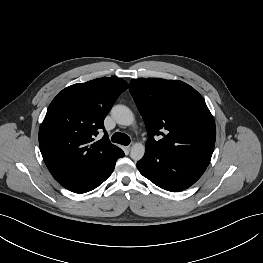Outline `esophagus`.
I'll list each match as a JSON object with an SVG mask.
<instances>
[{
    "label": "esophagus",
    "instance_id": "1",
    "mask_svg": "<svg viewBox=\"0 0 263 263\" xmlns=\"http://www.w3.org/2000/svg\"><path fill=\"white\" fill-rule=\"evenodd\" d=\"M126 149H127L128 151H130V150H131V145L126 146Z\"/></svg>",
    "mask_w": 263,
    "mask_h": 263
}]
</instances>
